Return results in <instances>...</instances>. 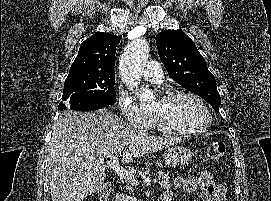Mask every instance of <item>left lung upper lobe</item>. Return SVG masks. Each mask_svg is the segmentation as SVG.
Here are the masks:
<instances>
[{"label":"left lung upper lobe","mask_w":271,"mask_h":201,"mask_svg":"<svg viewBox=\"0 0 271 201\" xmlns=\"http://www.w3.org/2000/svg\"><path fill=\"white\" fill-rule=\"evenodd\" d=\"M156 44L169 75L218 112L221 99L215 78L194 42L181 30H165L156 35Z\"/></svg>","instance_id":"obj_1"}]
</instances>
